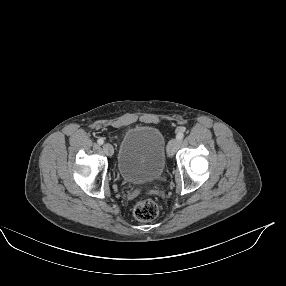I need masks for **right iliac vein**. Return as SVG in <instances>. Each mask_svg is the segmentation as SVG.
<instances>
[{
	"label": "right iliac vein",
	"instance_id": "1",
	"mask_svg": "<svg viewBox=\"0 0 286 286\" xmlns=\"http://www.w3.org/2000/svg\"><path fill=\"white\" fill-rule=\"evenodd\" d=\"M103 151L105 152V154H107L108 156H112L114 153V148L111 144L109 143H105L103 145Z\"/></svg>",
	"mask_w": 286,
	"mask_h": 286
}]
</instances>
